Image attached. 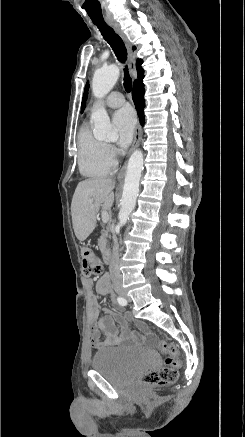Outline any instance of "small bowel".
Returning <instances> with one entry per match:
<instances>
[{"instance_id": "small-bowel-1", "label": "small bowel", "mask_w": 245, "mask_h": 437, "mask_svg": "<svg viewBox=\"0 0 245 437\" xmlns=\"http://www.w3.org/2000/svg\"><path fill=\"white\" fill-rule=\"evenodd\" d=\"M87 287L93 284L92 279H85ZM109 281L103 276L96 282V291L100 295L109 293ZM129 314L109 310L104 307L94 306L89 314L90 339L92 347L103 350L109 347H122L139 344L141 342L152 343L154 339L149 332L142 327L143 335L131 331L129 328ZM104 336L101 339V336Z\"/></svg>"}]
</instances>
